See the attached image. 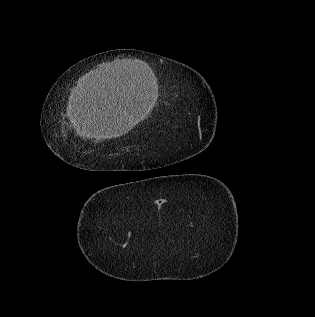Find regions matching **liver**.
Returning a JSON list of instances; mask_svg holds the SVG:
<instances>
[{
	"label": "liver",
	"mask_w": 315,
	"mask_h": 317,
	"mask_svg": "<svg viewBox=\"0 0 315 317\" xmlns=\"http://www.w3.org/2000/svg\"><path fill=\"white\" fill-rule=\"evenodd\" d=\"M136 61H122L120 67L129 70ZM117 77V75H114ZM109 81V79H108ZM70 122L83 138H117L128 133L137 123L129 103L121 99L116 81L103 86H81Z\"/></svg>",
	"instance_id": "6515ba94"
}]
</instances>
